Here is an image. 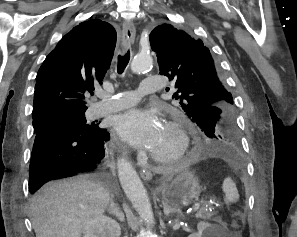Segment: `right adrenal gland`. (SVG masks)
Wrapping results in <instances>:
<instances>
[{
	"label": "right adrenal gland",
	"mask_w": 297,
	"mask_h": 237,
	"mask_svg": "<svg viewBox=\"0 0 297 237\" xmlns=\"http://www.w3.org/2000/svg\"><path fill=\"white\" fill-rule=\"evenodd\" d=\"M107 211L109 212V214L116 216V218L120 222H124L125 221L124 214L122 212H120L119 206H118L117 203H115L114 196L113 195L110 198V204L107 207Z\"/></svg>",
	"instance_id": "obj_1"
}]
</instances>
